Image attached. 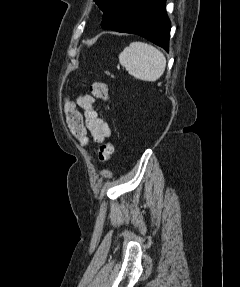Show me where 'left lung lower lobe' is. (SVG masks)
<instances>
[{
	"label": "left lung lower lobe",
	"mask_w": 240,
	"mask_h": 287,
	"mask_svg": "<svg viewBox=\"0 0 240 287\" xmlns=\"http://www.w3.org/2000/svg\"><path fill=\"white\" fill-rule=\"evenodd\" d=\"M166 0H108L101 27L142 36L169 51L170 21Z\"/></svg>",
	"instance_id": "0a47b994"
}]
</instances>
